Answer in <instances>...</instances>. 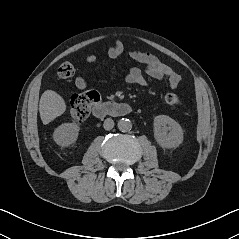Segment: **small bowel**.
Segmentation results:
<instances>
[{"label":"small bowel","mask_w":239,"mask_h":239,"mask_svg":"<svg viewBox=\"0 0 239 239\" xmlns=\"http://www.w3.org/2000/svg\"><path fill=\"white\" fill-rule=\"evenodd\" d=\"M124 51V47L121 41H116L107 51L110 58L119 57ZM130 58L145 65V72L148 76L156 80L167 79L172 89L177 88L181 83V77L178 73L172 70L169 66L162 63L156 56L148 52H142L139 50H131L129 52ZM97 57L94 54H89L86 57L88 63L96 62ZM126 82L129 84H135L144 86L146 80L142 71L139 68H132L126 75ZM75 87L78 90H85L88 86L87 81L81 77H76L74 81Z\"/></svg>","instance_id":"obj_1"}]
</instances>
